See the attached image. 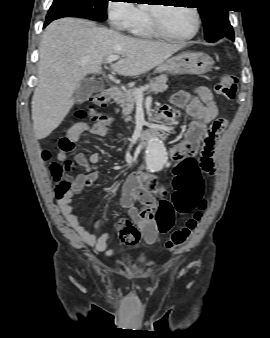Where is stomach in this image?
Here are the masks:
<instances>
[{"instance_id": "0dacf381", "label": "stomach", "mask_w": 270, "mask_h": 338, "mask_svg": "<svg viewBox=\"0 0 270 338\" xmlns=\"http://www.w3.org/2000/svg\"><path fill=\"white\" fill-rule=\"evenodd\" d=\"M212 58L205 53L183 52L158 66L155 72L202 75L211 71Z\"/></svg>"}]
</instances>
